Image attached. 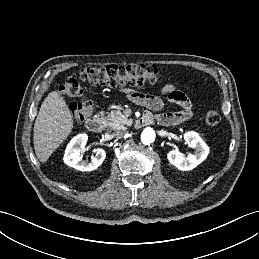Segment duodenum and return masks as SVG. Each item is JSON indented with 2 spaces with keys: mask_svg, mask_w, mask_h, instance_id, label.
<instances>
[{
  "mask_svg": "<svg viewBox=\"0 0 259 259\" xmlns=\"http://www.w3.org/2000/svg\"><path fill=\"white\" fill-rule=\"evenodd\" d=\"M153 120L154 119L151 114L145 113L142 117L139 118V120H137L135 126H136V128H141L145 125L152 123ZM85 124H86V128L89 131L98 133V132L102 131L105 122L102 117L94 116V117L89 118Z\"/></svg>",
  "mask_w": 259,
  "mask_h": 259,
  "instance_id": "1",
  "label": "duodenum"
}]
</instances>
